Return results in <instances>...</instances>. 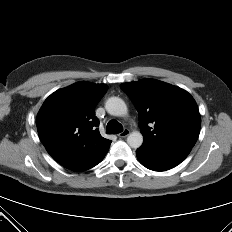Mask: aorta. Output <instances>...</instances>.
<instances>
[{
	"label": "aorta",
	"instance_id": "1",
	"mask_svg": "<svg viewBox=\"0 0 232 232\" xmlns=\"http://www.w3.org/2000/svg\"><path fill=\"white\" fill-rule=\"evenodd\" d=\"M106 111L113 116H125L128 112L125 102L119 97H110L105 103ZM127 143L131 148L137 149L143 143V136L139 131L130 133L127 137Z\"/></svg>",
	"mask_w": 232,
	"mask_h": 232
}]
</instances>
